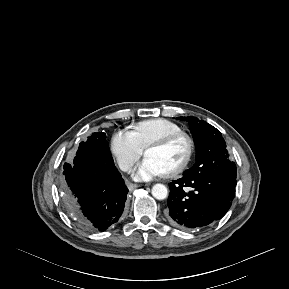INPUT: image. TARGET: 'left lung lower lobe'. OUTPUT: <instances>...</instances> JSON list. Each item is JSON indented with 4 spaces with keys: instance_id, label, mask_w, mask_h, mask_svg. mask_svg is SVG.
<instances>
[{
    "instance_id": "left-lung-lower-lobe-1",
    "label": "left lung lower lobe",
    "mask_w": 289,
    "mask_h": 289,
    "mask_svg": "<svg viewBox=\"0 0 289 289\" xmlns=\"http://www.w3.org/2000/svg\"><path fill=\"white\" fill-rule=\"evenodd\" d=\"M183 175L169 183L168 221L182 229H194L220 220L232 204L236 179L222 171ZM184 187L192 191L186 193Z\"/></svg>"
}]
</instances>
